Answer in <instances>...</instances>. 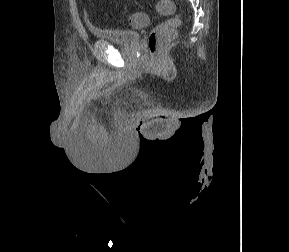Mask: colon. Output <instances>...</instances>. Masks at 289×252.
<instances>
[{
	"instance_id": "colon-1",
	"label": "colon",
	"mask_w": 289,
	"mask_h": 252,
	"mask_svg": "<svg viewBox=\"0 0 289 252\" xmlns=\"http://www.w3.org/2000/svg\"><path fill=\"white\" fill-rule=\"evenodd\" d=\"M156 9L160 14L171 16V18L157 25L150 32L148 50L152 60H156L163 47L175 37L176 29L181 23L180 18L174 15L175 7L171 0H158ZM123 21L129 26L140 27L145 23L146 15L144 13L128 14Z\"/></svg>"
}]
</instances>
